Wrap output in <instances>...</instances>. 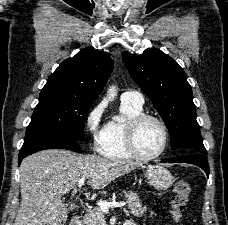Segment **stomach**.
Listing matches in <instances>:
<instances>
[{
	"instance_id": "obj_1",
	"label": "stomach",
	"mask_w": 228,
	"mask_h": 225,
	"mask_svg": "<svg viewBox=\"0 0 228 225\" xmlns=\"http://www.w3.org/2000/svg\"><path fill=\"white\" fill-rule=\"evenodd\" d=\"M146 177L155 189L158 191H166L174 183V177L168 169H164L161 165H149L147 167Z\"/></svg>"
}]
</instances>
